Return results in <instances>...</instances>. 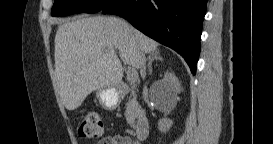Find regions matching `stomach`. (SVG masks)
<instances>
[{
  "instance_id": "1",
  "label": "stomach",
  "mask_w": 273,
  "mask_h": 144,
  "mask_svg": "<svg viewBox=\"0 0 273 144\" xmlns=\"http://www.w3.org/2000/svg\"><path fill=\"white\" fill-rule=\"evenodd\" d=\"M99 104L106 110H115L121 101V93L115 89H99L96 93Z\"/></svg>"
}]
</instances>
